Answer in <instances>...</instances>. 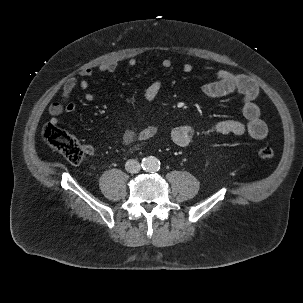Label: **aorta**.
Returning <instances> with one entry per match:
<instances>
[{
    "mask_svg": "<svg viewBox=\"0 0 303 303\" xmlns=\"http://www.w3.org/2000/svg\"><path fill=\"white\" fill-rule=\"evenodd\" d=\"M142 167L147 172H156L160 169V161L158 158L149 156L143 159Z\"/></svg>",
    "mask_w": 303,
    "mask_h": 303,
    "instance_id": "aorta-1",
    "label": "aorta"
}]
</instances>
